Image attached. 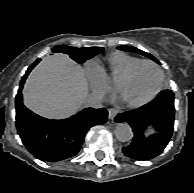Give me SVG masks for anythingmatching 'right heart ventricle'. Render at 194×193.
<instances>
[{"label":"right heart ventricle","mask_w":194,"mask_h":193,"mask_svg":"<svg viewBox=\"0 0 194 193\" xmlns=\"http://www.w3.org/2000/svg\"><path fill=\"white\" fill-rule=\"evenodd\" d=\"M142 59L136 56L129 55L122 51H116L106 58L107 67L96 64L106 80V82L114 86L119 77L125 73L132 65Z\"/></svg>","instance_id":"e07e8e85"}]
</instances>
